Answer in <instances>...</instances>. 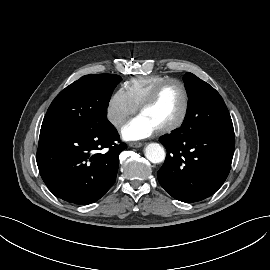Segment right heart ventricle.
I'll use <instances>...</instances> for the list:
<instances>
[{
    "mask_svg": "<svg viewBox=\"0 0 270 270\" xmlns=\"http://www.w3.org/2000/svg\"><path fill=\"white\" fill-rule=\"evenodd\" d=\"M167 79L170 77L162 75L136 76L125 83L124 89L132 103L139 108L153 88Z\"/></svg>",
    "mask_w": 270,
    "mask_h": 270,
    "instance_id": "e07e8e85",
    "label": "right heart ventricle"
}]
</instances>
